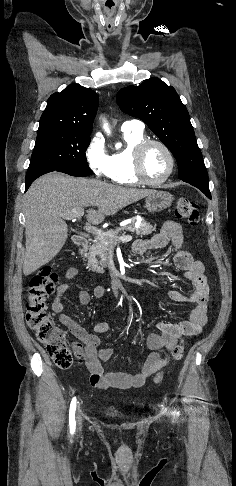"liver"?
Returning <instances> with one entry per match:
<instances>
[{"label": "liver", "mask_w": 236, "mask_h": 486, "mask_svg": "<svg viewBox=\"0 0 236 486\" xmlns=\"http://www.w3.org/2000/svg\"><path fill=\"white\" fill-rule=\"evenodd\" d=\"M154 190L126 188L106 182L74 178L58 172L32 183L25 194L26 249L23 273L28 276L50 262L62 249L68 227L62 215L89 206L87 221L98 225L106 216L135 203Z\"/></svg>", "instance_id": "1"}]
</instances>
